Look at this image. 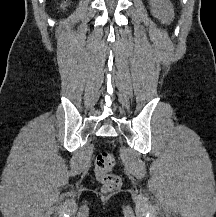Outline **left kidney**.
<instances>
[{"mask_svg":"<svg viewBox=\"0 0 216 217\" xmlns=\"http://www.w3.org/2000/svg\"><path fill=\"white\" fill-rule=\"evenodd\" d=\"M151 12L161 23L169 24L174 18L173 7L169 0H150Z\"/></svg>","mask_w":216,"mask_h":217,"instance_id":"obj_1","label":"left kidney"}]
</instances>
